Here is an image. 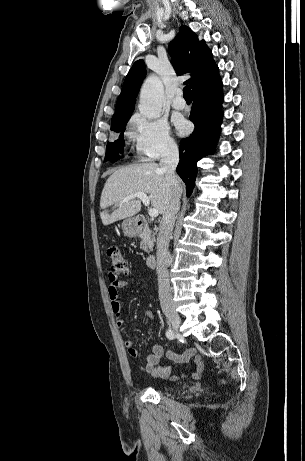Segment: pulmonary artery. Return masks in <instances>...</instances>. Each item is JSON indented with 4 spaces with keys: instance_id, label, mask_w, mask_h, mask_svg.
Segmentation results:
<instances>
[{
    "instance_id": "obj_1",
    "label": "pulmonary artery",
    "mask_w": 305,
    "mask_h": 461,
    "mask_svg": "<svg viewBox=\"0 0 305 461\" xmlns=\"http://www.w3.org/2000/svg\"><path fill=\"white\" fill-rule=\"evenodd\" d=\"M172 107L176 110H183L186 107V102L182 97L181 91L176 92V95L172 100Z\"/></svg>"
}]
</instances>
